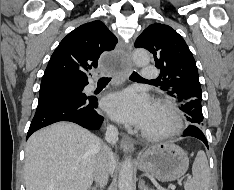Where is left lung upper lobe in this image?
Wrapping results in <instances>:
<instances>
[{"mask_svg":"<svg viewBox=\"0 0 234 190\" xmlns=\"http://www.w3.org/2000/svg\"><path fill=\"white\" fill-rule=\"evenodd\" d=\"M154 55L161 69V90L180 104L190 124L203 128L202 90L195 59L184 39L170 26L154 23L135 41Z\"/></svg>","mask_w":234,"mask_h":190,"instance_id":"obj_1","label":"left lung upper lobe"}]
</instances>
